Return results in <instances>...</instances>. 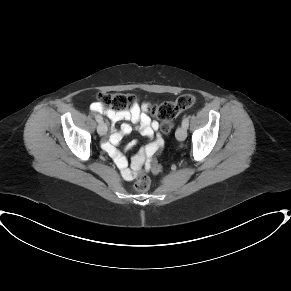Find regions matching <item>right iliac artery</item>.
Instances as JSON below:
<instances>
[{"mask_svg":"<svg viewBox=\"0 0 291 291\" xmlns=\"http://www.w3.org/2000/svg\"><path fill=\"white\" fill-rule=\"evenodd\" d=\"M95 119H96V121H97L98 123L103 122V118H102V116H100L99 114L95 115Z\"/></svg>","mask_w":291,"mask_h":291,"instance_id":"1","label":"right iliac artery"}]
</instances>
